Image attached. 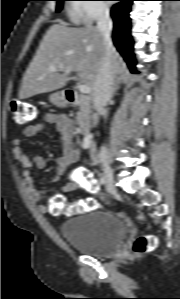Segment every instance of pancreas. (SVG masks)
I'll return each mask as SVG.
<instances>
[{
  "instance_id": "obj_1",
  "label": "pancreas",
  "mask_w": 180,
  "mask_h": 299,
  "mask_svg": "<svg viewBox=\"0 0 180 299\" xmlns=\"http://www.w3.org/2000/svg\"><path fill=\"white\" fill-rule=\"evenodd\" d=\"M90 113L91 111L88 106L81 105L76 117L77 124H82L84 120H88Z\"/></svg>"
}]
</instances>
